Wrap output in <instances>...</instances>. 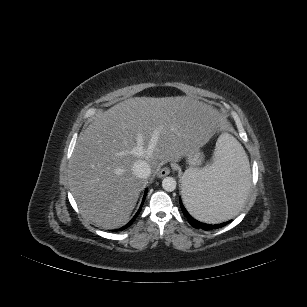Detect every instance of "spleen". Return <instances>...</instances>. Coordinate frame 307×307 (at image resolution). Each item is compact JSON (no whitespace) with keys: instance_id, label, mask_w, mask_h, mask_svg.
I'll use <instances>...</instances> for the list:
<instances>
[{"instance_id":"3e777b00","label":"spleen","mask_w":307,"mask_h":307,"mask_svg":"<svg viewBox=\"0 0 307 307\" xmlns=\"http://www.w3.org/2000/svg\"><path fill=\"white\" fill-rule=\"evenodd\" d=\"M211 166L186 170L183 201L198 220L219 223L242 211L249 201V161L241 145L222 134L209 150Z\"/></svg>"}]
</instances>
